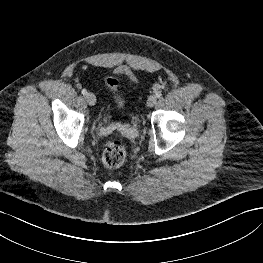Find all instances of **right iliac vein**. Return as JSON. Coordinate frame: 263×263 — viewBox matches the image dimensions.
Returning a JSON list of instances; mask_svg holds the SVG:
<instances>
[{"instance_id":"right-iliac-vein-1","label":"right iliac vein","mask_w":263,"mask_h":263,"mask_svg":"<svg viewBox=\"0 0 263 263\" xmlns=\"http://www.w3.org/2000/svg\"><path fill=\"white\" fill-rule=\"evenodd\" d=\"M85 99L90 106H93L96 103V96L91 92L86 94Z\"/></svg>"}]
</instances>
